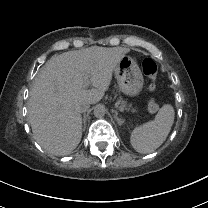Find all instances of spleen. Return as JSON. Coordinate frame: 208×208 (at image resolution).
Returning <instances> with one entry per match:
<instances>
[{"mask_svg": "<svg viewBox=\"0 0 208 208\" xmlns=\"http://www.w3.org/2000/svg\"><path fill=\"white\" fill-rule=\"evenodd\" d=\"M174 107L163 104L155 120L136 126L130 134L131 147L139 154H149L159 148L166 140L174 122Z\"/></svg>", "mask_w": 208, "mask_h": 208, "instance_id": "3e777b00", "label": "spleen"}]
</instances>
